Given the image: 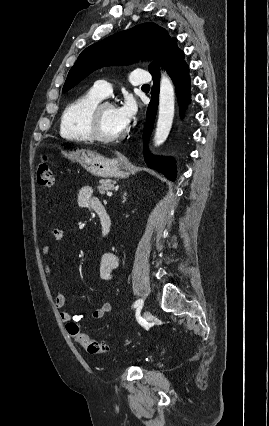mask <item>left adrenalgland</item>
<instances>
[{"mask_svg": "<svg viewBox=\"0 0 269 426\" xmlns=\"http://www.w3.org/2000/svg\"><path fill=\"white\" fill-rule=\"evenodd\" d=\"M126 195H127V193H126V192H124V195H123V199H124V200H123V202H126V199H127V198H126Z\"/></svg>", "mask_w": 269, "mask_h": 426, "instance_id": "1", "label": "left adrenal gland"}]
</instances>
